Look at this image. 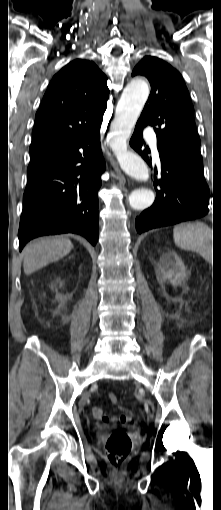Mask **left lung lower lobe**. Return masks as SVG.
Returning <instances> with one entry per match:
<instances>
[{"label":"left lung lower lobe","mask_w":221,"mask_h":510,"mask_svg":"<svg viewBox=\"0 0 221 510\" xmlns=\"http://www.w3.org/2000/svg\"><path fill=\"white\" fill-rule=\"evenodd\" d=\"M145 126V123L137 122L130 145L151 165L150 149L143 148L142 130ZM157 148L161 161L160 178L154 176L157 198L136 218L138 233L197 219L209 212V188L203 175V163L158 140ZM155 171L157 173L156 168Z\"/></svg>","instance_id":"obj_1"}]
</instances>
